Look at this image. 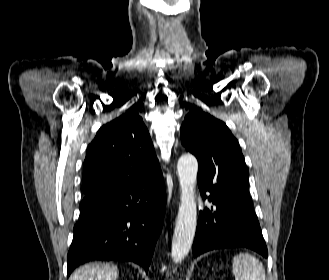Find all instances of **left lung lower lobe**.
<instances>
[{"mask_svg":"<svg viewBox=\"0 0 329 280\" xmlns=\"http://www.w3.org/2000/svg\"><path fill=\"white\" fill-rule=\"evenodd\" d=\"M201 195L207 198L204 190ZM211 209L200 211L193 243V255L222 248H249L267 258L262 236L248 186L222 194H210Z\"/></svg>","mask_w":329,"mask_h":280,"instance_id":"obj_1","label":"left lung lower lobe"}]
</instances>
